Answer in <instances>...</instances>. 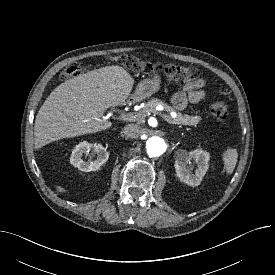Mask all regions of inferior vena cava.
I'll return each instance as SVG.
<instances>
[{
	"label": "inferior vena cava",
	"mask_w": 275,
	"mask_h": 275,
	"mask_svg": "<svg viewBox=\"0 0 275 275\" xmlns=\"http://www.w3.org/2000/svg\"><path fill=\"white\" fill-rule=\"evenodd\" d=\"M123 133L128 138H138L141 134V127L137 124H127L124 127Z\"/></svg>",
	"instance_id": "inferior-vena-cava-1"
}]
</instances>
